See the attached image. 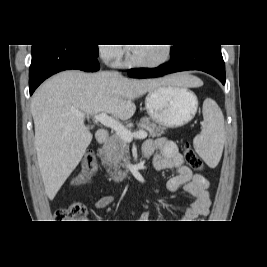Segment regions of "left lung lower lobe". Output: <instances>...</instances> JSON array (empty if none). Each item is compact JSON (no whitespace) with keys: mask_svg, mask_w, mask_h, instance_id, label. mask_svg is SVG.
Instances as JSON below:
<instances>
[{"mask_svg":"<svg viewBox=\"0 0 267 267\" xmlns=\"http://www.w3.org/2000/svg\"><path fill=\"white\" fill-rule=\"evenodd\" d=\"M171 61L156 68H133L128 75L133 78H155L166 74L200 70L219 79L225 85V64L220 45H184L170 51Z\"/></svg>","mask_w":267,"mask_h":267,"instance_id":"0a47b994","label":"left lung lower lobe"}]
</instances>
